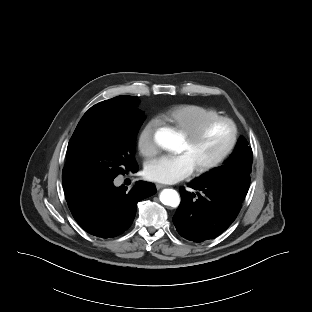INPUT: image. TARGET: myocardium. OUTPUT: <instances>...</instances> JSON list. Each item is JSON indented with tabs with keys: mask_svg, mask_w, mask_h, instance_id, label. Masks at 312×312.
<instances>
[{
	"mask_svg": "<svg viewBox=\"0 0 312 312\" xmlns=\"http://www.w3.org/2000/svg\"><path fill=\"white\" fill-rule=\"evenodd\" d=\"M221 122H224V123H227L230 125L231 130H232L231 140H230L228 146L226 147V149L218 157H216L215 159H213L212 161H210L208 163H205L203 165L196 167L195 171L197 173H205V172H208V171L215 169L216 167L221 165L230 156V154L233 152V150L235 149L237 142H238V138H239L238 126H237L236 122L230 117L217 116V117H214V118L206 121L198 129H196L190 133L184 134V138L186 139V141L190 145H193L198 140H200L209 131V129L212 126H214L217 123H221Z\"/></svg>",
	"mask_w": 312,
	"mask_h": 312,
	"instance_id": "f54148a6",
	"label": "myocardium"
}]
</instances>
